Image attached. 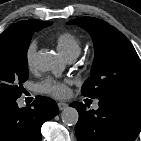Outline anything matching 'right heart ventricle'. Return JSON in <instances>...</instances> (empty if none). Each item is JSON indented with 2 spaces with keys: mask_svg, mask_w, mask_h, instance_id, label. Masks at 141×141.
Wrapping results in <instances>:
<instances>
[{
  "mask_svg": "<svg viewBox=\"0 0 141 141\" xmlns=\"http://www.w3.org/2000/svg\"><path fill=\"white\" fill-rule=\"evenodd\" d=\"M55 40L58 51L65 59H75L80 54L82 44L76 35L70 32H62L56 36Z\"/></svg>",
  "mask_w": 141,
  "mask_h": 141,
  "instance_id": "1",
  "label": "right heart ventricle"
}]
</instances>
